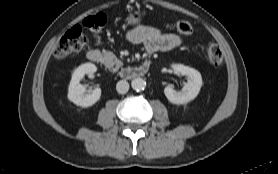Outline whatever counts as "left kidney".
Wrapping results in <instances>:
<instances>
[{"mask_svg":"<svg viewBox=\"0 0 278 174\" xmlns=\"http://www.w3.org/2000/svg\"><path fill=\"white\" fill-rule=\"evenodd\" d=\"M172 68L176 74L187 76V82L181 91H176L167 86L164 94L173 104H186L197 97L202 86V77L199 71L182 64H174Z\"/></svg>","mask_w":278,"mask_h":174,"instance_id":"left-kidney-1","label":"left kidney"}]
</instances>
